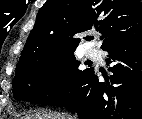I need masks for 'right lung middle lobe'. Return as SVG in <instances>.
I'll list each match as a JSON object with an SVG mask.
<instances>
[{"instance_id":"obj_1","label":"right lung middle lobe","mask_w":142,"mask_h":119,"mask_svg":"<svg viewBox=\"0 0 142 119\" xmlns=\"http://www.w3.org/2000/svg\"><path fill=\"white\" fill-rule=\"evenodd\" d=\"M79 64L73 50L43 56L17 69L13 80L14 98L42 105L65 99L91 70H80Z\"/></svg>"}]
</instances>
